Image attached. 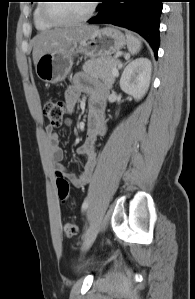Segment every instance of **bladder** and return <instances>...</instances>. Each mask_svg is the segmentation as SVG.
I'll list each match as a JSON object with an SVG mask.
<instances>
[{
  "instance_id": "obj_1",
  "label": "bladder",
  "mask_w": 195,
  "mask_h": 299,
  "mask_svg": "<svg viewBox=\"0 0 195 299\" xmlns=\"http://www.w3.org/2000/svg\"><path fill=\"white\" fill-rule=\"evenodd\" d=\"M97 270L96 266L87 261H82V260H77L75 262V271L78 274H83V273H93Z\"/></svg>"
}]
</instances>
